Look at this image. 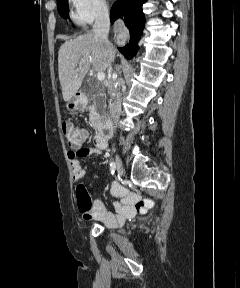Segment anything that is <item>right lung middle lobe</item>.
Masks as SVG:
<instances>
[{
    "label": "right lung middle lobe",
    "mask_w": 240,
    "mask_h": 288,
    "mask_svg": "<svg viewBox=\"0 0 240 288\" xmlns=\"http://www.w3.org/2000/svg\"><path fill=\"white\" fill-rule=\"evenodd\" d=\"M57 7L60 15L67 19L68 15V0H57Z\"/></svg>",
    "instance_id": "dd1d6c3e"
}]
</instances>
